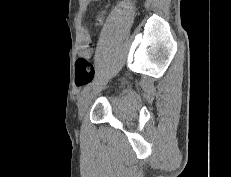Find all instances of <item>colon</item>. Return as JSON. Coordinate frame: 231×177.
Returning <instances> with one entry per match:
<instances>
[{
  "label": "colon",
  "mask_w": 231,
  "mask_h": 177,
  "mask_svg": "<svg viewBox=\"0 0 231 177\" xmlns=\"http://www.w3.org/2000/svg\"><path fill=\"white\" fill-rule=\"evenodd\" d=\"M95 70L92 63L86 57H79L75 64V81L82 87L94 78Z\"/></svg>",
  "instance_id": "1"
}]
</instances>
